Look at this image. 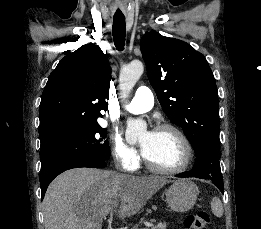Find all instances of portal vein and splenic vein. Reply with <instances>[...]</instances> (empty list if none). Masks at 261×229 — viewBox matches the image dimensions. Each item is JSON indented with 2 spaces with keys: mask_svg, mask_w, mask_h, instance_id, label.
Here are the masks:
<instances>
[{
  "mask_svg": "<svg viewBox=\"0 0 261 229\" xmlns=\"http://www.w3.org/2000/svg\"><path fill=\"white\" fill-rule=\"evenodd\" d=\"M142 229H147V227H142Z\"/></svg>",
  "mask_w": 261,
  "mask_h": 229,
  "instance_id": "portal-vein-and-splenic-vein-1",
  "label": "portal vein and splenic vein"
}]
</instances>
